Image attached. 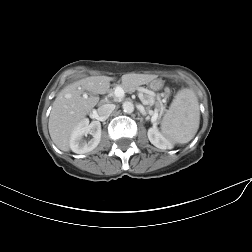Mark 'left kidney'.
I'll return each instance as SVG.
<instances>
[{
    "label": "left kidney",
    "mask_w": 252,
    "mask_h": 252,
    "mask_svg": "<svg viewBox=\"0 0 252 252\" xmlns=\"http://www.w3.org/2000/svg\"><path fill=\"white\" fill-rule=\"evenodd\" d=\"M147 135L149 141L157 148L171 149L173 147L172 142L167 137H165L161 132H159V130L155 125H153V127H151L148 130Z\"/></svg>",
    "instance_id": "1"
}]
</instances>
